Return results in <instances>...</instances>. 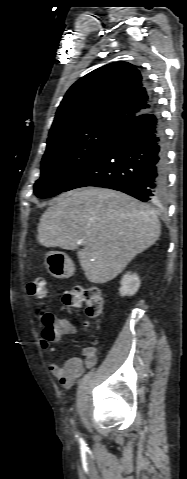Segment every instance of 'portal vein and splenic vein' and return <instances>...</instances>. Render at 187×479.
Wrapping results in <instances>:
<instances>
[{"instance_id": "portal-vein-and-splenic-vein-1", "label": "portal vein and splenic vein", "mask_w": 187, "mask_h": 479, "mask_svg": "<svg viewBox=\"0 0 187 479\" xmlns=\"http://www.w3.org/2000/svg\"><path fill=\"white\" fill-rule=\"evenodd\" d=\"M78 244H82V241L80 240V241L78 242Z\"/></svg>"}]
</instances>
